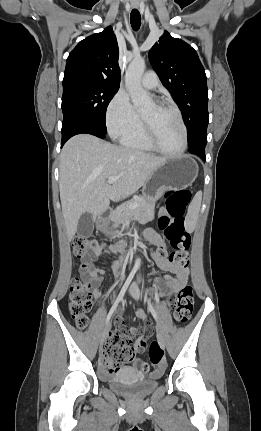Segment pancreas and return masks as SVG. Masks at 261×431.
Wrapping results in <instances>:
<instances>
[{"instance_id": "pancreas-1", "label": "pancreas", "mask_w": 261, "mask_h": 431, "mask_svg": "<svg viewBox=\"0 0 261 431\" xmlns=\"http://www.w3.org/2000/svg\"><path fill=\"white\" fill-rule=\"evenodd\" d=\"M132 204H137L135 208H130ZM155 201H150L144 197L133 198L121 206H118L111 213V221L114 227L124 224L128 220L149 218L154 213Z\"/></svg>"}]
</instances>
